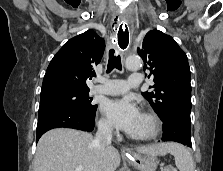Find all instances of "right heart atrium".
<instances>
[{
  "instance_id": "obj_1",
  "label": "right heart atrium",
  "mask_w": 223,
  "mask_h": 171,
  "mask_svg": "<svg viewBox=\"0 0 223 171\" xmlns=\"http://www.w3.org/2000/svg\"><path fill=\"white\" fill-rule=\"evenodd\" d=\"M98 126L103 132L109 133L112 131V125L106 118H101L98 122Z\"/></svg>"
}]
</instances>
